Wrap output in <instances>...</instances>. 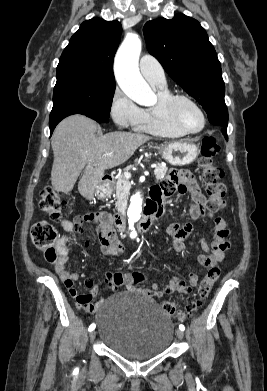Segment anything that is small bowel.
Here are the masks:
<instances>
[{
    "label": "small bowel",
    "instance_id": "c3829d8e",
    "mask_svg": "<svg viewBox=\"0 0 267 391\" xmlns=\"http://www.w3.org/2000/svg\"><path fill=\"white\" fill-rule=\"evenodd\" d=\"M189 193L191 196V205L189 215L191 219L197 220L203 218L206 211L207 201L202 194L196 180L192 174L186 170H171L166 178L157 185H154L150 190V202L157 208L159 214L162 213L164 202L174 195H184ZM86 223H98V236L100 239V250L103 255L108 257L120 256L123 252V245L117 239L113 229V218L110 213L102 211L97 213H87L82 216H77L73 220H62L61 228L65 234L56 242L57 260L54 264V269L65 286L69 289L71 295L76 298L80 307H83L89 312H95L102 304V300L93 301V298L98 293V286L94 278H86L85 286L88 290L86 294H79L74 287V283L81 277L76 271H69L66 264L68 260L69 235L67 233L75 232L82 233L83 225ZM192 232V225L186 223L184 225L172 223L167 227V233L170 235L176 245L177 252L181 255L186 253V249L182 241L187 238ZM86 245H89L87 240ZM201 248L203 253L198 256V262L205 268H212L224 259V253L231 246L230 231L226 228V223L223 219L218 218L215 221L214 238L211 243H207L205 239L200 238ZM115 274L107 273L105 278L113 291L120 286H125L129 289H136L149 298H161L167 294L179 292L182 294H190L192 288L198 284L199 275L192 272L189 275V283L178 277H173L165 286H160L158 282H154L150 289H137L128 281V273H119L122 281H115Z\"/></svg>",
    "mask_w": 267,
    "mask_h": 391
}]
</instances>
